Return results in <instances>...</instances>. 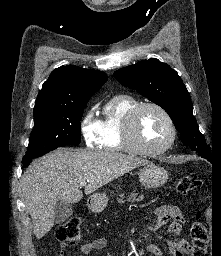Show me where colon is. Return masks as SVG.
I'll return each mask as SVG.
<instances>
[{
	"label": "colon",
	"instance_id": "colon-1",
	"mask_svg": "<svg viewBox=\"0 0 221 256\" xmlns=\"http://www.w3.org/2000/svg\"><path fill=\"white\" fill-rule=\"evenodd\" d=\"M202 180L196 176H185L177 185L178 191L182 194L191 193L202 187ZM82 223L77 217H71L64 223L58 225L55 230V236L58 241L66 245H72L79 242L82 235ZM192 238V256H208V236L204 225L196 221L190 229Z\"/></svg>",
	"mask_w": 221,
	"mask_h": 256
}]
</instances>
